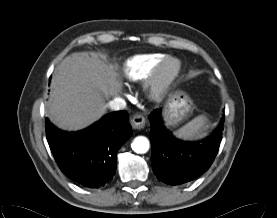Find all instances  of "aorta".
Listing matches in <instances>:
<instances>
[{
  "label": "aorta",
  "instance_id": "762f6f07",
  "mask_svg": "<svg viewBox=\"0 0 277 218\" xmlns=\"http://www.w3.org/2000/svg\"><path fill=\"white\" fill-rule=\"evenodd\" d=\"M131 147L135 153L144 154L149 150L150 143L146 137L138 136L133 140Z\"/></svg>",
  "mask_w": 277,
  "mask_h": 218
}]
</instances>
